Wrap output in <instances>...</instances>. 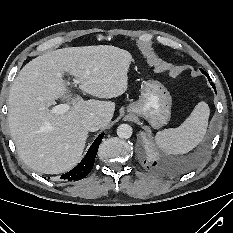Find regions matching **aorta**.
Returning a JSON list of instances; mask_svg holds the SVG:
<instances>
[{
    "instance_id": "1",
    "label": "aorta",
    "mask_w": 233,
    "mask_h": 233,
    "mask_svg": "<svg viewBox=\"0 0 233 233\" xmlns=\"http://www.w3.org/2000/svg\"><path fill=\"white\" fill-rule=\"evenodd\" d=\"M117 135L121 139H128L132 135V127L128 124H121L117 128Z\"/></svg>"
}]
</instances>
